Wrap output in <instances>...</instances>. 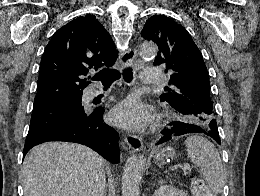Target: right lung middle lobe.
Returning <instances> with one entry per match:
<instances>
[{
  "label": "right lung middle lobe",
  "instance_id": "dd1d6c3e",
  "mask_svg": "<svg viewBox=\"0 0 260 196\" xmlns=\"http://www.w3.org/2000/svg\"><path fill=\"white\" fill-rule=\"evenodd\" d=\"M88 115L81 104V96L33 106L28 135L83 121Z\"/></svg>",
  "mask_w": 260,
  "mask_h": 196
}]
</instances>
